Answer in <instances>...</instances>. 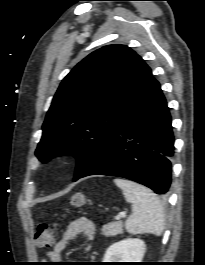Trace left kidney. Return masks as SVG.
Wrapping results in <instances>:
<instances>
[{
    "label": "left kidney",
    "mask_w": 205,
    "mask_h": 265,
    "mask_svg": "<svg viewBox=\"0 0 205 265\" xmlns=\"http://www.w3.org/2000/svg\"><path fill=\"white\" fill-rule=\"evenodd\" d=\"M146 250L143 240L126 238L109 246L103 262H141Z\"/></svg>",
    "instance_id": "left-kidney-1"
}]
</instances>
